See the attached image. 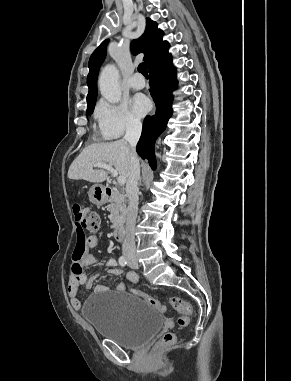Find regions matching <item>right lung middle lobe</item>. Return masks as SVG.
Here are the masks:
<instances>
[{"instance_id":"dd1d6c3e","label":"right lung middle lobe","mask_w":291,"mask_h":381,"mask_svg":"<svg viewBox=\"0 0 291 381\" xmlns=\"http://www.w3.org/2000/svg\"><path fill=\"white\" fill-rule=\"evenodd\" d=\"M94 107H95V102H93V103L87 105V112H86L87 115H89V114H91V113L93 112Z\"/></svg>"}]
</instances>
